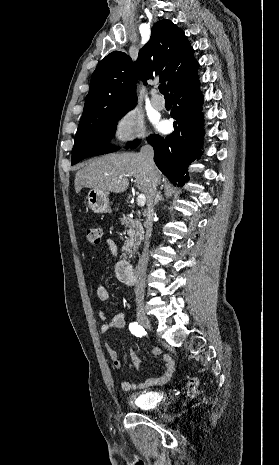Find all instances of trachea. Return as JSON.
<instances>
[{"instance_id": "obj_1", "label": "trachea", "mask_w": 279, "mask_h": 465, "mask_svg": "<svg viewBox=\"0 0 279 465\" xmlns=\"http://www.w3.org/2000/svg\"><path fill=\"white\" fill-rule=\"evenodd\" d=\"M159 90L164 96H169L168 89L165 83L159 85Z\"/></svg>"}]
</instances>
